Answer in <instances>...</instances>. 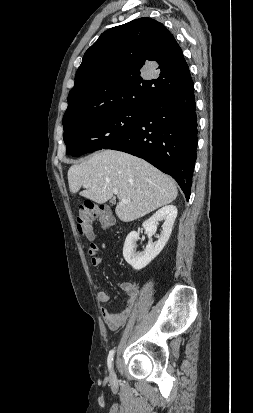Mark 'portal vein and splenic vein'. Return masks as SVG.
<instances>
[{"label": "portal vein and splenic vein", "mask_w": 253, "mask_h": 413, "mask_svg": "<svg viewBox=\"0 0 253 413\" xmlns=\"http://www.w3.org/2000/svg\"><path fill=\"white\" fill-rule=\"evenodd\" d=\"M113 193H114V194H118V189H114V190H113ZM123 202H126V203H127V202H130V201L127 200V199H123Z\"/></svg>", "instance_id": "18ae733b"}]
</instances>
